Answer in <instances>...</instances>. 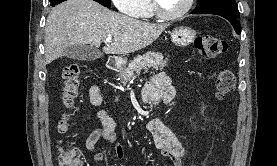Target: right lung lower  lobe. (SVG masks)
<instances>
[{
  "mask_svg": "<svg viewBox=\"0 0 277 166\" xmlns=\"http://www.w3.org/2000/svg\"><path fill=\"white\" fill-rule=\"evenodd\" d=\"M63 1H66V0H58L56 2L51 3V6H55V5H57V4H59V3L63 2Z\"/></svg>",
  "mask_w": 277,
  "mask_h": 166,
  "instance_id": "right-lung-lower-lobe-1",
  "label": "right lung lower lobe"
}]
</instances>
